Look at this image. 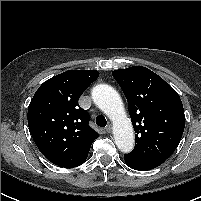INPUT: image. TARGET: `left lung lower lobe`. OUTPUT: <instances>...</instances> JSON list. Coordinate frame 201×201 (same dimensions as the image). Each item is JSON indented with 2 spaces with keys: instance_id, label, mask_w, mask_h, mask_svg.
Returning <instances> with one entry per match:
<instances>
[{
  "instance_id": "0a47b994",
  "label": "left lung lower lobe",
  "mask_w": 201,
  "mask_h": 201,
  "mask_svg": "<svg viewBox=\"0 0 201 201\" xmlns=\"http://www.w3.org/2000/svg\"><path fill=\"white\" fill-rule=\"evenodd\" d=\"M124 160L130 168L135 169V170H139V171L150 170V169H153V168H155V167H157L163 163L162 161L141 162V161L131 159L126 155H124Z\"/></svg>"
}]
</instances>
